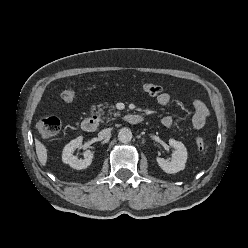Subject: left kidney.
Returning <instances> with one entry per match:
<instances>
[{
	"label": "left kidney",
	"mask_w": 248,
	"mask_h": 248,
	"mask_svg": "<svg viewBox=\"0 0 248 248\" xmlns=\"http://www.w3.org/2000/svg\"><path fill=\"white\" fill-rule=\"evenodd\" d=\"M169 145L175 149L171 161H167L160 157H157L156 161L164 172L174 174L184 170L188 155L186 147L182 142L169 139Z\"/></svg>",
	"instance_id": "obj_1"
}]
</instances>
